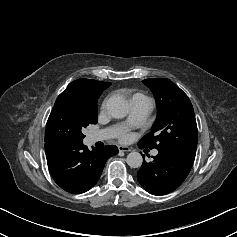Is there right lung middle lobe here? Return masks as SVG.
<instances>
[{
    "mask_svg": "<svg viewBox=\"0 0 237 237\" xmlns=\"http://www.w3.org/2000/svg\"><path fill=\"white\" fill-rule=\"evenodd\" d=\"M97 105L61 93L46 124L45 141L82 143V129L97 123Z\"/></svg>",
    "mask_w": 237,
    "mask_h": 237,
    "instance_id": "dd1d6c3e",
    "label": "right lung middle lobe"
}]
</instances>
